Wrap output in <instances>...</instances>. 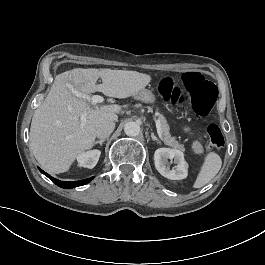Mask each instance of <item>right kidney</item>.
<instances>
[{
  "instance_id": "ca27d5eb",
  "label": "right kidney",
  "mask_w": 265,
  "mask_h": 265,
  "mask_svg": "<svg viewBox=\"0 0 265 265\" xmlns=\"http://www.w3.org/2000/svg\"><path fill=\"white\" fill-rule=\"evenodd\" d=\"M101 151L94 149L87 152H82L77 156V162L80 167L92 169L96 166Z\"/></svg>"
}]
</instances>
